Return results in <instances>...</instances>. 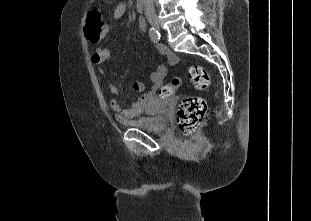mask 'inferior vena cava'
<instances>
[{
    "label": "inferior vena cava",
    "instance_id": "1",
    "mask_svg": "<svg viewBox=\"0 0 311 221\" xmlns=\"http://www.w3.org/2000/svg\"><path fill=\"white\" fill-rule=\"evenodd\" d=\"M143 2L145 6L146 16H149V14H153V16H156L153 0H143Z\"/></svg>",
    "mask_w": 311,
    "mask_h": 221
}]
</instances>
